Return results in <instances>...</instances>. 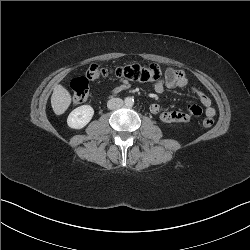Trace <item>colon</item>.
<instances>
[{
	"mask_svg": "<svg viewBox=\"0 0 250 250\" xmlns=\"http://www.w3.org/2000/svg\"><path fill=\"white\" fill-rule=\"evenodd\" d=\"M109 75L137 82H153L161 79L162 69L158 64H151L149 66L129 64L110 69L93 64L87 69L85 76L75 78L72 81L73 102L78 104L87 101L92 94L89 81L100 80ZM213 124L214 120L212 117H206L203 120V126L206 128H210Z\"/></svg>",
	"mask_w": 250,
	"mask_h": 250,
	"instance_id": "colon-1",
	"label": "colon"
}]
</instances>
